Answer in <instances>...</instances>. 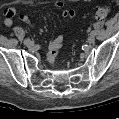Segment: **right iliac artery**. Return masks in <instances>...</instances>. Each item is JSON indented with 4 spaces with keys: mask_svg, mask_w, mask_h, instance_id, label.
Wrapping results in <instances>:
<instances>
[{
    "mask_svg": "<svg viewBox=\"0 0 119 119\" xmlns=\"http://www.w3.org/2000/svg\"><path fill=\"white\" fill-rule=\"evenodd\" d=\"M28 41H30V39H25V40H24V43H26V42H28Z\"/></svg>",
    "mask_w": 119,
    "mask_h": 119,
    "instance_id": "right-iliac-artery-1",
    "label": "right iliac artery"
}]
</instances>
